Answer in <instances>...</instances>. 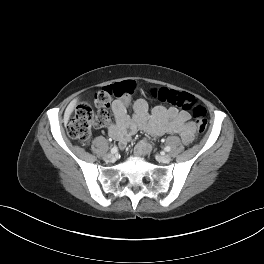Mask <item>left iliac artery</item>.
I'll return each mask as SVG.
<instances>
[{
  "mask_svg": "<svg viewBox=\"0 0 264 264\" xmlns=\"http://www.w3.org/2000/svg\"><path fill=\"white\" fill-rule=\"evenodd\" d=\"M164 150H165L166 152H169V151L171 150V148H170L169 146H166V147L164 148Z\"/></svg>",
  "mask_w": 264,
  "mask_h": 264,
  "instance_id": "obj_1",
  "label": "left iliac artery"
}]
</instances>
